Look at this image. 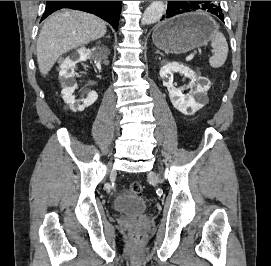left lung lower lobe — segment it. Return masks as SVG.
Masks as SVG:
<instances>
[{
  "mask_svg": "<svg viewBox=\"0 0 271 266\" xmlns=\"http://www.w3.org/2000/svg\"><path fill=\"white\" fill-rule=\"evenodd\" d=\"M196 9L206 10L219 17L224 22V15L219 1H168L166 14L162 18H170L177 14Z\"/></svg>",
  "mask_w": 271,
  "mask_h": 266,
  "instance_id": "obj_1",
  "label": "left lung lower lobe"
}]
</instances>
